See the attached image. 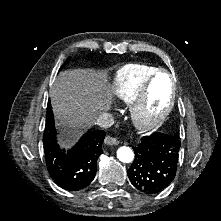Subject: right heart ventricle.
I'll return each mask as SVG.
<instances>
[{
	"instance_id": "1",
	"label": "right heart ventricle",
	"mask_w": 221,
	"mask_h": 221,
	"mask_svg": "<svg viewBox=\"0 0 221 221\" xmlns=\"http://www.w3.org/2000/svg\"><path fill=\"white\" fill-rule=\"evenodd\" d=\"M158 68L143 64H128L117 70L114 94L124 104L134 103L142 87Z\"/></svg>"
}]
</instances>
